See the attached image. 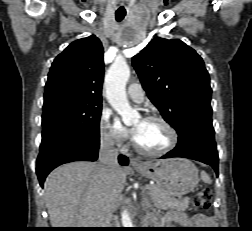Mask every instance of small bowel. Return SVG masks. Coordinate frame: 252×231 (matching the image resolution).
<instances>
[{
  "label": "small bowel",
  "mask_w": 252,
  "mask_h": 231,
  "mask_svg": "<svg viewBox=\"0 0 252 231\" xmlns=\"http://www.w3.org/2000/svg\"><path fill=\"white\" fill-rule=\"evenodd\" d=\"M169 218L177 221L184 227L198 229L207 226L210 219L204 214H196L192 218H188L183 212L175 211L169 214Z\"/></svg>",
  "instance_id": "c3829d8e"
}]
</instances>
